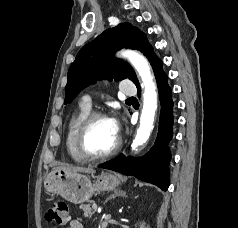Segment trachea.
I'll use <instances>...</instances> for the list:
<instances>
[{
    "instance_id": "obj_1",
    "label": "trachea",
    "mask_w": 238,
    "mask_h": 228,
    "mask_svg": "<svg viewBox=\"0 0 238 228\" xmlns=\"http://www.w3.org/2000/svg\"><path fill=\"white\" fill-rule=\"evenodd\" d=\"M134 99H135L134 97L128 98V100H134Z\"/></svg>"
}]
</instances>
